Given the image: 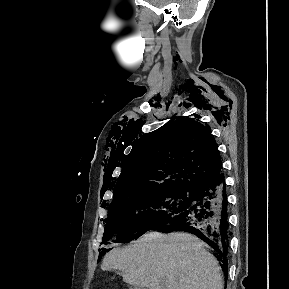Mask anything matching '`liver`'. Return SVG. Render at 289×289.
Masks as SVG:
<instances>
[{
	"label": "liver",
	"instance_id": "obj_1",
	"mask_svg": "<svg viewBox=\"0 0 289 289\" xmlns=\"http://www.w3.org/2000/svg\"><path fill=\"white\" fill-rule=\"evenodd\" d=\"M101 269L120 270L133 289H223L218 261L188 233L147 232L106 254Z\"/></svg>",
	"mask_w": 289,
	"mask_h": 289
}]
</instances>
